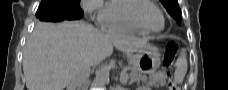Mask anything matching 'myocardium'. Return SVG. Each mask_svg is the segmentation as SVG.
<instances>
[{"label":"myocardium","instance_id":"obj_1","mask_svg":"<svg viewBox=\"0 0 228 90\" xmlns=\"http://www.w3.org/2000/svg\"><path fill=\"white\" fill-rule=\"evenodd\" d=\"M148 6H151L153 8H155L161 18H162V27L159 28V29H151L149 28L143 18H142V11L148 7ZM130 16H131V19L140 27L142 28L144 31H146L147 33H156V32H161L164 28H165V17H164V13L163 11L152 1H149V0H141L140 4L136 5L135 7L132 8L131 12H130Z\"/></svg>","mask_w":228,"mask_h":90}]
</instances>
